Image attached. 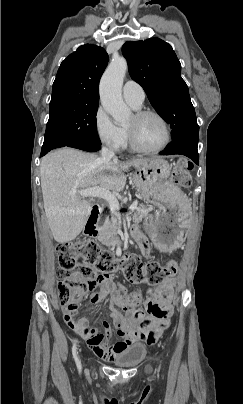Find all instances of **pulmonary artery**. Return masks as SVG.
Returning <instances> with one entry per match:
<instances>
[{"mask_svg": "<svg viewBox=\"0 0 243 404\" xmlns=\"http://www.w3.org/2000/svg\"><path fill=\"white\" fill-rule=\"evenodd\" d=\"M122 94L125 101L134 107H140L145 99L144 89L134 80L125 81L122 87Z\"/></svg>", "mask_w": 243, "mask_h": 404, "instance_id": "1", "label": "pulmonary artery"}]
</instances>
